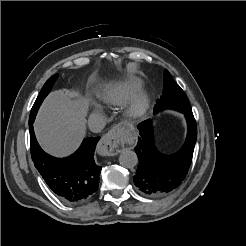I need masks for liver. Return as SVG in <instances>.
<instances>
[{"label": "liver", "instance_id": "liver-1", "mask_svg": "<svg viewBox=\"0 0 246 246\" xmlns=\"http://www.w3.org/2000/svg\"><path fill=\"white\" fill-rule=\"evenodd\" d=\"M88 102L68 90L53 91L43 102L34 128L45 151L55 156L74 152L85 135Z\"/></svg>", "mask_w": 246, "mask_h": 246}]
</instances>
